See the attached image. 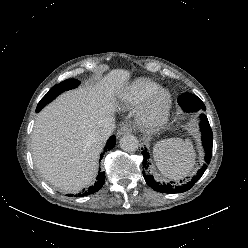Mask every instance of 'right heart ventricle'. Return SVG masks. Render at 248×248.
Wrapping results in <instances>:
<instances>
[{"label": "right heart ventricle", "instance_id": "right-heart-ventricle-1", "mask_svg": "<svg viewBox=\"0 0 248 248\" xmlns=\"http://www.w3.org/2000/svg\"><path fill=\"white\" fill-rule=\"evenodd\" d=\"M160 89L161 86L157 82L147 78H139L122 92L121 102L127 108L137 107Z\"/></svg>", "mask_w": 248, "mask_h": 248}]
</instances>
